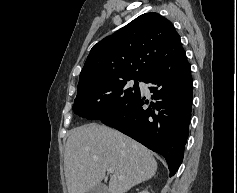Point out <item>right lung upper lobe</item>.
I'll return each mask as SVG.
<instances>
[{
  "instance_id": "right-lung-upper-lobe-1",
  "label": "right lung upper lobe",
  "mask_w": 237,
  "mask_h": 193,
  "mask_svg": "<svg viewBox=\"0 0 237 193\" xmlns=\"http://www.w3.org/2000/svg\"><path fill=\"white\" fill-rule=\"evenodd\" d=\"M183 49L173 24L158 13H145L91 49L77 90L124 78H144Z\"/></svg>"
}]
</instances>
